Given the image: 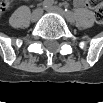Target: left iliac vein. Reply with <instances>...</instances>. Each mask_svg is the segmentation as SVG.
<instances>
[{
  "instance_id": "obj_1",
  "label": "left iliac vein",
  "mask_w": 103,
  "mask_h": 103,
  "mask_svg": "<svg viewBox=\"0 0 103 103\" xmlns=\"http://www.w3.org/2000/svg\"><path fill=\"white\" fill-rule=\"evenodd\" d=\"M46 10L49 12L57 13V14L63 16L64 18H66L67 20H69L66 13L64 12V10H62L61 8H59L57 6L48 7V8H46Z\"/></svg>"
}]
</instances>
